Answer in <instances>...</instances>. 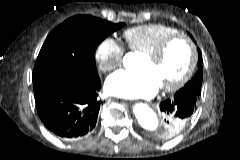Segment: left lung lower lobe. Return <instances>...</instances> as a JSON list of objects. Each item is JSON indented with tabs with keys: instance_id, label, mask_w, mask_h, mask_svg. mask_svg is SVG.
<instances>
[{
	"instance_id": "left-lung-lower-lobe-1",
	"label": "left lung lower lobe",
	"mask_w": 240,
	"mask_h": 160,
	"mask_svg": "<svg viewBox=\"0 0 240 160\" xmlns=\"http://www.w3.org/2000/svg\"><path fill=\"white\" fill-rule=\"evenodd\" d=\"M199 97L192 93L177 92L173 99L165 100L160 104V110L165 115V122L167 124L166 130L169 135H174L181 131L185 124L176 126V120L187 121L196 108Z\"/></svg>"
}]
</instances>
